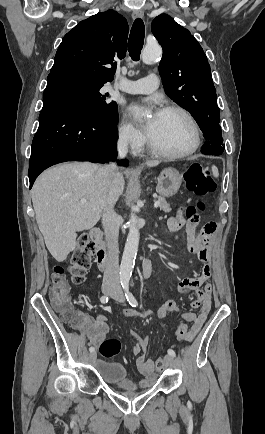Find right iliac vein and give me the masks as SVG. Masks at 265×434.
<instances>
[{
	"label": "right iliac vein",
	"mask_w": 265,
	"mask_h": 434,
	"mask_svg": "<svg viewBox=\"0 0 265 434\" xmlns=\"http://www.w3.org/2000/svg\"><path fill=\"white\" fill-rule=\"evenodd\" d=\"M102 291H103V293L105 295H109V294H111L114 291V288L111 287V286L105 285V286L102 287ZM88 357H89V361L93 362L96 359L97 354H96V352H92V353L89 354Z\"/></svg>",
	"instance_id": "right-iliac-vein-1"
}]
</instances>
